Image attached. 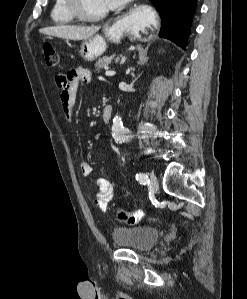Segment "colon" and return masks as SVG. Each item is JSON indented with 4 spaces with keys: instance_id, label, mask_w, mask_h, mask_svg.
I'll return each instance as SVG.
<instances>
[{
    "instance_id": "obj_1",
    "label": "colon",
    "mask_w": 247,
    "mask_h": 299,
    "mask_svg": "<svg viewBox=\"0 0 247 299\" xmlns=\"http://www.w3.org/2000/svg\"><path fill=\"white\" fill-rule=\"evenodd\" d=\"M43 53H44L45 62L47 66L55 67L58 65L59 56L54 46L51 43H45L43 45ZM143 217H144V212L142 210H136L131 212L120 210L118 212V219L121 222L129 225L137 224L142 220Z\"/></svg>"
}]
</instances>
